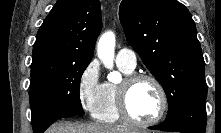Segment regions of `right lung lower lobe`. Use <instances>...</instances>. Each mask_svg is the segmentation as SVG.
I'll use <instances>...</instances> for the list:
<instances>
[{
  "label": "right lung lower lobe",
  "instance_id": "1",
  "mask_svg": "<svg viewBox=\"0 0 221 133\" xmlns=\"http://www.w3.org/2000/svg\"><path fill=\"white\" fill-rule=\"evenodd\" d=\"M76 115L75 113L71 112L64 116L57 117V116H48V115H40L36 118L32 119V127L34 133H43L52 123L57 120L65 119L71 116Z\"/></svg>",
  "mask_w": 221,
  "mask_h": 133
}]
</instances>
